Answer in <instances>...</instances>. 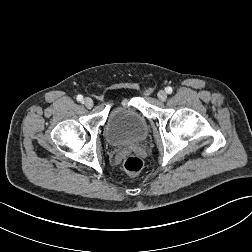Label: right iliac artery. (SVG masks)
Here are the masks:
<instances>
[{"mask_svg":"<svg viewBox=\"0 0 252 252\" xmlns=\"http://www.w3.org/2000/svg\"><path fill=\"white\" fill-rule=\"evenodd\" d=\"M82 100H83V96H82V95H78V96H77V101H80V102H81Z\"/></svg>","mask_w":252,"mask_h":252,"instance_id":"1","label":"right iliac artery"}]
</instances>
